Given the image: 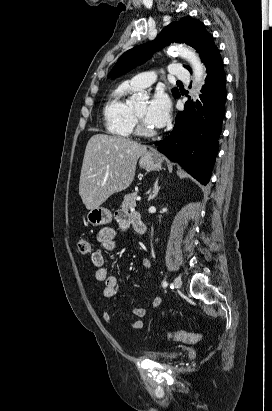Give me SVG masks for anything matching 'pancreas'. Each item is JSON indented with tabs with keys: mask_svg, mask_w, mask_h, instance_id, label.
<instances>
[{
	"mask_svg": "<svg viewBox=\"0 0 272 411\" xmlns=\"http://www.w3.org/2000/svg\"><path fill=\"white\" fill-rule=\"evenodd\" d=\"M136 197L137 192H133L124 196V201L122 202L123 209H131L136 207Z\"/></svg>",
	"mask_w": 272,
	"mask_h": 411,
	"instance_id": "1",
	"label": "pancreas"
}]
</instances>
